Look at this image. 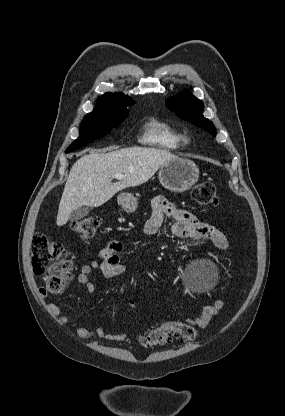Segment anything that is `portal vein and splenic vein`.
I'll return each instance as SVG.
<instances>
[{"label": "portal vein and splenic vein", "instance_id": "obj_1", "mask_svg": "<svg viewBox=\"0 0 285 416\" xmlns=\"http://www.w3.org/2000/svg\"><path fill=\"white\" fill-rule=\"evenodd\" d=\"M114 178L115 180H123L126 176H124V174H115Z\"/></svg>", "mask_w": 285, "mask_h": 416}]
</instances>
